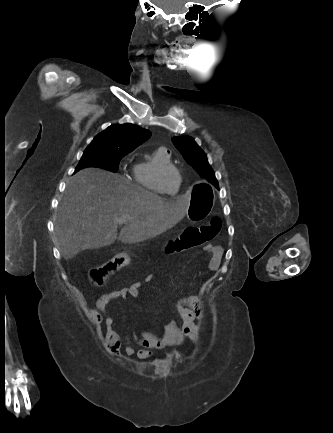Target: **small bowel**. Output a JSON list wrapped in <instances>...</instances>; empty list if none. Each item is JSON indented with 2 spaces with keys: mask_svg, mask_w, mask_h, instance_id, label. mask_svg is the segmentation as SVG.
<instances>
[{
  "mask_svg": "<svg viewBox=\"0 0 333 433\" xmlns=\"http://www.w3.org/2000/svg\"><path fill=\"white\" fill-rule=\"evenodd\" d=\"M204 249L212 257L209 263L211 270L219 267L222 250L214 245H207ZM151 274L145 276L144 282H151ZM142 282H134L128 287L121 288L109 293L102 294L96 301L95 307L91 310L94 324L100 333L101 325L106 328L105 348L112 356L122 359L124 356L136 357L146 360L152 357L154 350L171 347H178L186 341H196L201 332L199 323L205 317V306L202 299L193 294H187L178 298L174 303V309L179 316L181 323L167 321L162 325V334L153 335L147 331L119 333L113 329V318L108 313V305L116 299H125L128 296L137 298L140 295ZM134 344L140 349L136 350Z\"/></svg>",
  "mask_w": 333,
  "mask_h": 433,
  "instance_id": "small-bowel-1",
  "label": "small bowel"
}]
</instances>
